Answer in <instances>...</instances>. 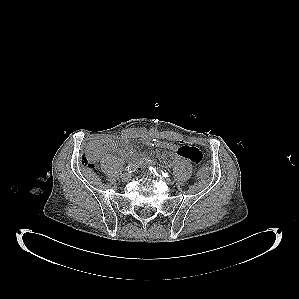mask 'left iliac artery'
I'll use <instances>...</instances> for the list:
<instances>
[{"mask_svg":"<svg viewBox=\"0 0 299 299\" xmlns=\"http://www.w3.org/2000/svg\"><path fill=\"white\" fill-rule=\"evenodd\" d=\"M149 170H150V172H151L152 174H154V175H156V176H159V177H161V178H162V177H165V178L169 177V175H168L167 172L158 170V169H156V168H154V167H150Z\"/></svg>","mask_w":299,"mask_h":299,"instance_id":"left-iliac-artery-1","label":"left iliac artery"}]
</instances>
